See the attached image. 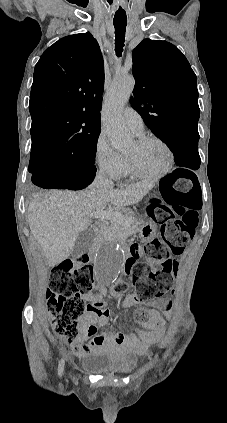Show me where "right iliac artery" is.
Segmentation results:
<instances>
[{
	"mask_svg": "<svg viewBox=\"0 0 227 423\" xmlns=\"http://www.w3.org/2000/svg\"><path fill=\"white\" fill-rule=\"evenodd\" d=\"M64 370V359H61L58 367V374L61 377Z\"/></svg>",
	"mask_w": 227,
	"mask_h": 423,
	"instance_id": "82829eb1",
	"label": "right iliac artery"
}]
</instances>
